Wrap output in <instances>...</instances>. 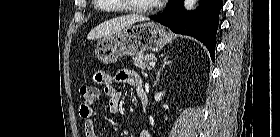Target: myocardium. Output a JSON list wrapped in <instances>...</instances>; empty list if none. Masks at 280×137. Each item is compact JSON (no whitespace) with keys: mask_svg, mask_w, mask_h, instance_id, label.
I'll list each match as a JSON object with an SVG mask.
<instances>
[{"mask_svg":"<svg viewBox=\"0 0 280 137\" xmlns=\"http://www.w3.org/2000/svg\"><path fill=\"white\" fill-rule=\"evenodd\" d=\"M129 2V1H127ZM125 7L126 9H128L129 11H132V12H138V13H152L154 11H156L159 7V4H155L153 6H150L148 8H140L138 6H135V5H132V4H125Z\"/></svg>","mask_w":280,"mask_h":137,"instance_id":"obj_1","label":"myocardium"}]
</instances>
